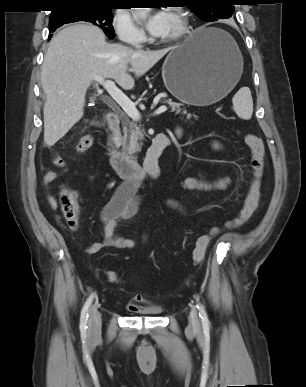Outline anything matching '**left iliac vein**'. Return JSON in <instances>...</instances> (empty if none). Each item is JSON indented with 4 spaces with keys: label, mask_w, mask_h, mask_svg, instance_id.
I'll return each instance as SVG.
<instances>
[{
    "label": "left iliac vein",
    "mask_w": 306,
    "mask_h": 387,
    "mask_svg": "<svg viewBox=\"0 0 306 387\" xmlns=\"http://www.w3.org/2000/svg\"><path fill=\"white\" fill-rule=\"evenodd\" d=\"M189 324H190V327L193 328V329H199L200 328V324H199V320H198V317H197V313H196V310L194 308H192L191 313L189 315Z\"/></svg>",
    "instance_id": "1"
}]
</instances>
